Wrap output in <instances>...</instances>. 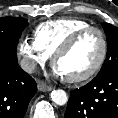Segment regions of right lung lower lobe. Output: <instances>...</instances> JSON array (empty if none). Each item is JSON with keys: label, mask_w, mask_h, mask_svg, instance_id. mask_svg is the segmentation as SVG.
Returning <instances> with one entry per match:
<instances>
[{"label": "right lung lower lobe", "mask_w": 118, "mask_h": 118, "mask_svg": "<svg viewBox=\"0 0 118 118\" xmlns=\"http://www.w3.org/2000/svg\"><path fill=\"white\" fill-rule=\"evenodd\" d=\"M36 91V82L16 56L0 55V118H23Z\"/></svg>", "instance_id": "1"}]
</instances>
